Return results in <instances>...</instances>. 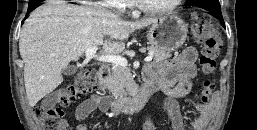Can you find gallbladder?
Returning <instances> with one entry per match:
<instances>
[{"mask_svg":"<svg viewBox=\"0 0 257 130\" xmlns=\"http://www.w3.org/2000/svg\"><path fill=\"white\" fill-rule=\"evenodd\" d=\"M77 68L75 66H68L63 70V74L66 76H71L75 74Z\"/></svg>","mask_w":257,"mask_h":130,"instance_id":"bac80fb5","label":"gallbladder"}]
</instances>
